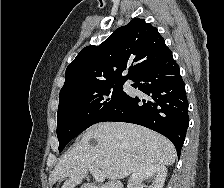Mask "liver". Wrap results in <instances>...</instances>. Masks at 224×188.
I'll use <instances>...</instances> for the list:
<instances>
[{
	"label": "liver",
	"mask_w": 224,
	"mask_h": 188,
	"mask_svg": "<svg viewBox=\"0 0 224 188\" xmlns=\"http://www.w3.org/2000/svg\"><path fill=\"white\" fill-rule=\"evenodd\" d=\"M92 139L95 146L90 144ZM175 158L176 149L166 137L130 123L104 122L88 129L65 153L52 171L51 181L68 178L61 188H75L93 167L102 171L111 186L149 165H172Z\"/></svg>",
	"instance_id": "obj_1"
}]
</instances>
